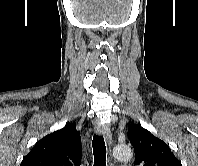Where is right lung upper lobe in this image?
Here are the masks:
<instances>
[{"mask_svg":"<svg viewBox=\"0 0 198 166\" xmlns=\"http://www.w3.org/2000/svg\"><path fill=\"white\" fill-rule=\"evenodd\" d=\"M81 137L73 124H67L39 140L20 166H80Z\"/></svg>","mask_w":198,"mask_h":166,"instance_id":"obj_1","label":"right lung upper lobe"}]
</instances>
